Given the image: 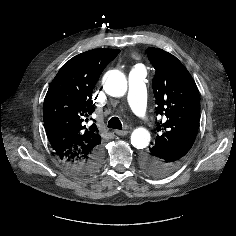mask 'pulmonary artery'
Here are the masks:
<instances>
[{"label":"pulmonary artery","instance_id":"obj_1","mask_svg":"<svg viewBox=\"0 0 236 236\" xmlns=\"http://www.w3.org/2000/svg\"><path fill=\"white\" fill-rule=\"evenodd\" d=\"M147 71L142 65L132 67L129 72L128 104L136 117H147L146 81Z\"/></svg>","mask_w":236,"mask_h":236}]
</instances>
